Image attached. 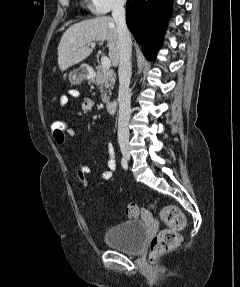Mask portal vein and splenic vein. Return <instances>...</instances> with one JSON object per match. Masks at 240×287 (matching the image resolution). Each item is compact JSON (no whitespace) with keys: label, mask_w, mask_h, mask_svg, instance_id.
<instances>
[{"label":"portal vein and splenic vein","mask_w":240,"mask_h":287,"mask_svg":"<svg viewBox=\"0 0 240 287\" xmlns=\"http://www.w3.org/2000/svg\"><path fill=\"white\" fill-rule=\"evenodd\" d=\"M92 47L95 46V43L91 44ZM101 64L105 69H109L111 67V61L108 57L102 56L101 57Z\"/></svg>","instance_id":"obj_1"}]
</instances>
